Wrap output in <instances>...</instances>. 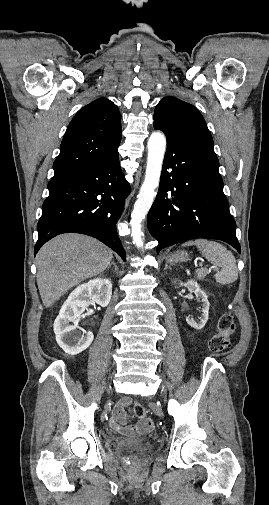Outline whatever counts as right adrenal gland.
Returning a JSON list of instances; mask_svg holds the SVG:
<instances>
[{
	"label": "right adrenal gland",
	"mask_w": 269,
	"mask_h": 505,
	"mask_svg": "<svg viewBox=\"0 0 269 505\" xmlns=\"http://www.w3.org/2000/svg\"><path fill=\"white\" fill-rule=\"evenodd\" d=\"M111 265H113L115 267V271L117 272L118 271V267H117V265L113 261L111 262V264H109L108 270L111 267Z\"/></svg>",
	"instance_id": "right-adrenal-gland-1"
}]
</instances>
